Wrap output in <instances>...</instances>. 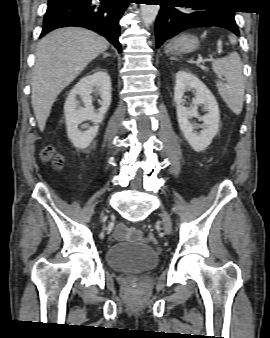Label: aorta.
<instances>
[{"label": "aorta", "mask_w": 270, "mask_h": 338, "mask_svg": "<svg viewBox=\"0 0 270 338\" xmlns=\"http://www.w3.org/2000/svg\"><path fill=\"white\" fill-rule=\"evenodd\" d=\"M159 5L141 4V16L146 26H150L159 12Z\"/></svg>", "instance_id": "obj_1"}]
</instances>
